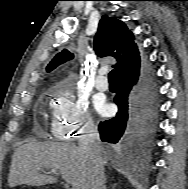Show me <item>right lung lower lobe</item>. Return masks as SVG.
Segmentation results:
<instances>
[{"instance_id": "right-lung-lower-lobe-1", "label": "right lung lower lobe", "mask_w": 188, "mask_h": 189, "mask_svg": "<svg viewBox=\"0 0 188 189\" xmlns=\"http://www.w3.org/2000/svg\"><path fill=\"white\" fill-rule=\"evenodd\" d=\"M139 73L140 69L133 74L118 78L114 98L118 105V113L114 118L101 122L99 132L103 142L115 144L119 140H125L137 151H143L149 145L155 128L157 92L151 70L143 66L142 78L128 108V94L132 86L137 83Z\"/></svg>"}]
</instances>
